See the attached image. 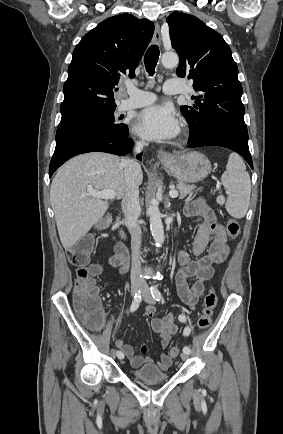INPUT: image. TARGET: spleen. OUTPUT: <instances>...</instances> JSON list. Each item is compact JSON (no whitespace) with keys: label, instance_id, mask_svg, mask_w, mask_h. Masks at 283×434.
Returning a JSON list of instances; mask_svg holds the SVG:
<instances>
[{"label":"spleen","instance_id":"spleen-1","mask_svg":"<svg viewBox=\"0 0 283 434\" xmlns=\"http://www.w3.org/2000/svg\"><path fill=\"white\" fill-rule=\"evenodd\" d=\"M221 182L228 194L217 197V203L225 204L227 212L234 218H243L249 207L251 182L246 166L240 156L231 153L228 158L226 171L223 173Z\"/></svg>","mask_w":283,"mask_h":434}]
</instances>
